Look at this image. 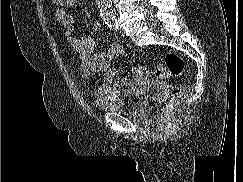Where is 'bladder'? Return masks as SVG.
I'll list each match as a JSON object with an SVG mask.
<instances>
[{
	"mask_svg": "<svg viewBox=\"0 0 243 182\" xmlns=\"http://www.w3.org/2000/svg\"><path fill=\"white\" fill-rule=\"evenodd\" d=\"M146 101L139 93L133 92L126 96H109L95 102L96 108L103 113H121L140 115L146 109Z\"/></svg>",
	"mask_w": 243,
	"mask_h": 182,
	"instance_id": "1",
	"label": "bladder"
}]
</instances>
